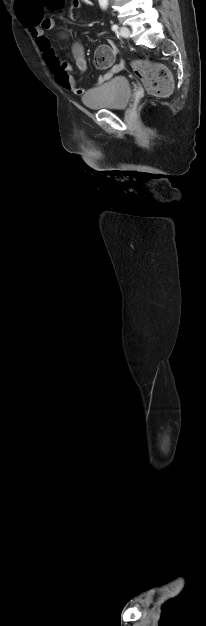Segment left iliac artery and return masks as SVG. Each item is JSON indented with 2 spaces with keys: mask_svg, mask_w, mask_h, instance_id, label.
Instances as JSON below:
<instances>
[{
  "mask_svg": "<svg viewBox=\"0 0 206 626\" xmlns=\"http://www.w3.org/2000/svg\"><path fill=\"white\" fill-rule=\"evenodd\" d=\"M118 28H119V27H118V25H116V24H113V25H112V30H113V31L117 32V31H118Z\"/></svg>",
  "mask_w": 206,
  "mask_h": 626,
  "instance_id": "44dca946",
  "label": "left iliac artery"
}]
</instances>
